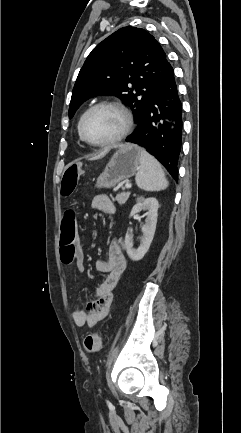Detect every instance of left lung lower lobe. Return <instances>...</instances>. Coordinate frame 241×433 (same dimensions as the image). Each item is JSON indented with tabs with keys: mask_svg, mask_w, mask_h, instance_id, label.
I'll use <instances>...</instances> for the list:
<instances>
[{
	"mask_svg": "<svg viewBox=\"0 0 241 433\" xmlns=\"http://www.w3.org/2000/svg\"><path fill=\"white\" fill-rule=\"evenodd\" d=\"M182 128V104L170 66L161 87L143 110L135 132L126 141L144 147L178 180Z\"/></svg>",
	"mask_w": 241,
	"mask_h": 433,
	"instance_id": "obj_1",
	"label": "left lung lower lobe"
}]
</instances>
